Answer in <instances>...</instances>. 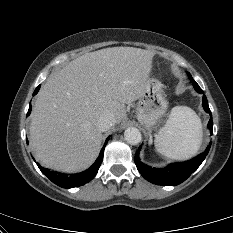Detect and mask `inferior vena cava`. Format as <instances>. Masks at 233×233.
Returning <instances> with one entry per match:
<instances>
[{"mask_svg": "<svg viewBox=\"0 0 233 233\" xmlns=\"http://www.w3.org/2000/svg\"><path fill=\"white\" fill-rule=\"evenodd\" d=\"M115 122L116 120L113 114L104 113L99 117L97 126L100 131L104 132L110 129L115 124Z\"/></svg>", "mask_w": 233, "mask_h": 233, "instance_id": "obj_1", "label": "inferior vena cava"}]
</instances>
